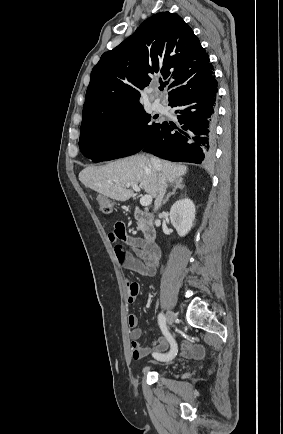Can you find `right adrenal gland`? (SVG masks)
Returning a JSON list of instances; mask_svg holds the SVG:
<instances>
[{"mask_svg": "<svg viewBox=\"0 0 283 434\" xmlns=\"http://www.w3.org/2000/svg\"><path fill=\"white\" fill-rule=\"evenodd\" d=\"M182 182H183L182 178H180L177 181H175V185H174L173 191L167 194L166 198L163 201V205H165L167 203V201L169 200V198L172 195L176 194L177 189H181V190L184 189L185 186L182 184Z\"/></svg>", "mask_w": 283, "mask_h": 434, "instance_id": "right-adrenal-gland-1", "label": "right adrenal gland"}]
</instances>
